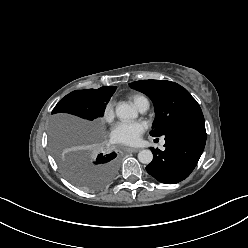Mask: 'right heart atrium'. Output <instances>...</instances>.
Segmentation results:
<instances>
[{"instance_id":"d8ad5b80","label":"right heart atrium","mask_w":248,"mask_h":248,"mask_svg":"<svg viewBox=\"0 0 248 248\" xmlns=\"http://www.w3.org/2000/svg\"><path fill=\"white\" fill-rule=\"evenodd\" d=\"M114 106L112 102H108L105 104L104 108H103V120L106 122H112L114 119Z\"/></svg>"}]
</instances>
